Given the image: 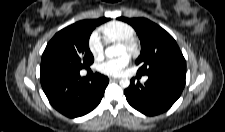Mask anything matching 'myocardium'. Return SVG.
Segmentation results:
<instances>
[{"instance_id": "myocardium-1", "label": "myocardium", "mask_w": 225, "mask_h": 132, "mask_svg": "<svg viewBox=\"0 0 225 132\" xmlns=\"http://www.w3.org/2000/svg\"><path fill=\"white\" fill-rule=\"evenodd\" d=\"M119 44L122 45L131 56H137L140 53V44L134 37L119 41Z\"/></svg>"}]
</instances>
